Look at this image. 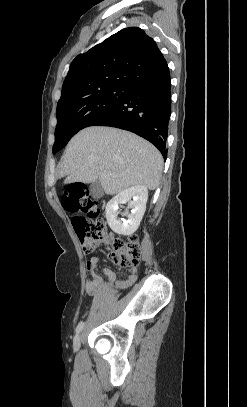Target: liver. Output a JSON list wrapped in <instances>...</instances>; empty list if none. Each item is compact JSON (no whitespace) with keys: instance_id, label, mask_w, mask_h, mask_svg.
<instances>
[{"instance_id":"liver-1","label":"liver","mask_w":247,"mask_h":407,"mask_svg":"<svg viewBox=\"0 0 247 407\" xmlns=\"http://www.w3.org/2000/svg\"><path fill=\"white\" fill-rule=\"evenodd\" d=\"M163 159L145 139L121 129L92 126L68 143L59 166L65 184L93 183L97 179L108 195L131 186L155 190L161 179Z\"/></svg>"}]
</instances>
